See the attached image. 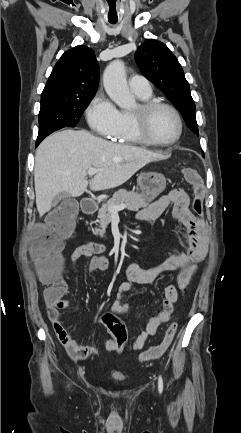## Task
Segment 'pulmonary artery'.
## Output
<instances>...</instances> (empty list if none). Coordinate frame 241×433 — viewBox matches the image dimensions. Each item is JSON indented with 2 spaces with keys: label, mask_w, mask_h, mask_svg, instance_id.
Instances as JSON below:
<instances>
[{
  "label": "pulmonary artery",
  "mask_w": 241,
  "mask_h": 433,
  "mask_svg": "<svg viewBox=\"0 0 241 433\" xmlns=\"http://www.w3.org/2000/svg\"><path fill=\"white\" fill-rule=\"evenodd\" d=\"M129 85L135 94L148 96L151 95L152 89L150 82L143 76L134 75L129 79Z\"/></svg>",
  "instance_id": "1"
}]
</instances>
